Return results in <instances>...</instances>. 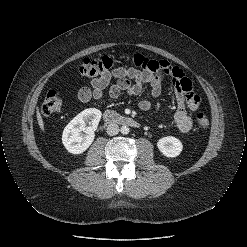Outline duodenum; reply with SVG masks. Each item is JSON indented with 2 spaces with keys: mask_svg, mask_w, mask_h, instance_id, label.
<instances>
[{
  "mask_svg": "<svg viewBox=\"0 0 247 247\" xmlns=\"http://www.w3.org/2000/svg\"><path fill=\"white\" fill-rule=\"evenodd\" d=\"M104 120L108 124H121L130 127H139V123L128 116L119 115L113 111H106L104 113Z\"/></svg>",
  "mask_w": 247,
  "mask_h": 247,
  "instance_id": "1",
  "label": "duodenum"
}]
</instances>
